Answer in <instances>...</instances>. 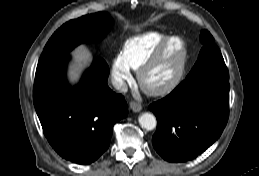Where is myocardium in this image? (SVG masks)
<instances>
[{
    "label": "myocardium",
    "instance_id": "f54148a6",
    "mask_svg": "<svg viewBox=\"0 0 259 176\" xmlns=\"http://www.w3.org/2000/svg\"><path fill=\"white\" fill-rule=\"evenodd\" d=\"M172 41L179 42V56L176 70L173 76L166 82L160 85H150L147 82V75L152 68L161 60L168 45ZM188 47L185 39L178 35H171L166 37L151 56L141 65L137 72L138 83L141 89L151 96H162L171 92L180 82L185 72L187 63Z\"/></svg>",
    "mask_w": 259,
    "mask_h": 176
}]
</instances>
